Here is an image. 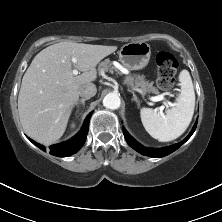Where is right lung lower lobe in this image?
<instances>
[{
  "mask_svg": "<svg viewBox=\"0 0 222 222\" xmlns=\"http://www.w3.org/2000/svg\"><path fill=\"white\" fill-rule=\"evenodd\" d=\"M91 114H92V112L88 114V116L86 117V119L84 121L81 131L77 135H75L73 138H71L70 140H68L66 142L51 145L49 147L50 154L57 156V157H66V156L76 153L83 146V144L86 140L87 133H88V127H89V119L91 117ZM29 140L33 144H35L38 148L45 151L44 146H41L40 144L36 143L35 141L31 140L30 138H29Z\"/></svg>",
  "mask_w": 222,
  "mask_h": 222,
  "instance_id": "right-lung-lower-lobe-1",
  "label": "right lung lower lobe"
}]
</instances>
